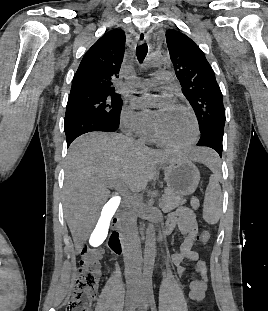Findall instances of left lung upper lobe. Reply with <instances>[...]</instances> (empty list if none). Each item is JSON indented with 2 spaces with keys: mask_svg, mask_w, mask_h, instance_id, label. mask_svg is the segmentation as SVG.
Instances as JSON below:
<instances>
[{
  "mask_svg": "<svg viewBox=\"0 0 268 311\" xmlns=\"http://www.w3.org/2000/svg\"><path fill=\"white\" fill-rule=\"evenodd\" d=\"M166 42L176 76L197 117L200 133L224 132L225 109L215 73L205 54L188 36L166 31Z\"/></svg>",
  "mask_w": 268,
  "mask_h": 311,
  "instance_id": "obj_1",
  "label": "left lung upper lobe"
}]
</instances>
